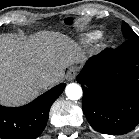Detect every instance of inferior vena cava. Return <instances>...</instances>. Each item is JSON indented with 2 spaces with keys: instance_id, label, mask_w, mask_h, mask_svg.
Here are the masks:
<instances>
[{
  "instance_id": "obj_1",
  "label": "inferior vena cava",
  "mask_w": 139,
  "mask_h": 139,
  "mask_svg": "<svg viewBox=\"0 0 139 139\" xmlns=\"http://www.w3.org/2000/svg\"><path fill=\"white\" fill-rule=\"evenodd\" d=\"M55 82V78L54 76L50 75V74H46V75H42L39 79H38V87L39 88H46L52 84H54Z\"/></svg>"
}]
</instances>
